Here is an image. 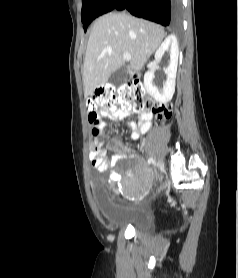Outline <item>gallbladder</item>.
Segmentation results:
<instances>
[{
	"label": "gallbladder",
	"mask_w": 238,
	"mask_h": 278,
	"mask_svg": "<svg viewBox=\"0 0 238 278\" xmlns=\"http://www.w3.org/2000/svg\"><path fill=\"white\" fill-rule=\"evenodd\" d=\"M127 78V66L124 64L118 70L113 72L109 77V83L114 86L122 85Z\"/></svg>",
	"instance_id": "bac80fb5"
}]
</instances>
